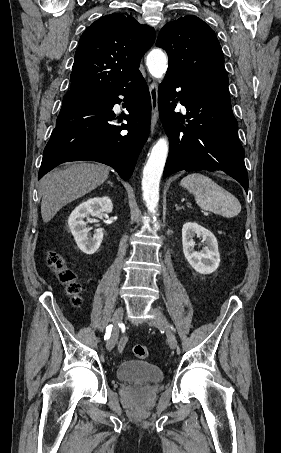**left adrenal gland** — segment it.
<instances>
[{
  "instance_id": "1",
  "label": "left adrenal gland",
  "mask_w": 281,
  "mask_h": 453,
  "mask_svg": "<svg viewBox=\"0 0 281 453\" xmlns=\"http://www.w3.org/2000/svg\"><path fill=\"white\" fill-rule=\"evenodd\" d=\"M176 206V210H179L180 206H178V204H175Z\"/></svg>"
}]
</instances>
